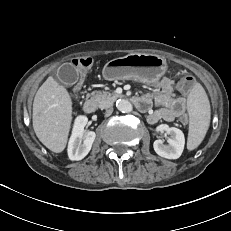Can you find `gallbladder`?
I'll use <instances>...</instances> for the list:
<instances>
[{
    "instance_id": "gallbladder-1",
    "label": "gallbladder",
    "mask_w": 231,
    "mask_h": 231,
    "mask_svg": "<svg viewBox=\"0 0 231 231\" xmlns=\"http://www.w3.org/2000/svg\"><path fill=\"white\" fill-rule=\"evenodd\" d=\"M77 75L76 68L69 63L61 65L56 72L57 79L66 86L74 85Z\"/></svg>"
}]
</instances>
